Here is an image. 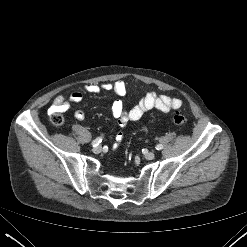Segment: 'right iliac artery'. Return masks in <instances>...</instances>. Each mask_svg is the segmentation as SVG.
Masks as SVG:
<instances>
[{
    "mask_svg": "<svg viewBox=\"0 0 247 247\" xmlns=\"http://www.w3.org/2000/svg\"><path fill=\"white\" fill-rule=\"evenodd\" d=\"M102 141L101 137L96 138L95 140H93V142L91 143L93 147L98 146Z\"/></svg>",
    "mask_w": 247,
    "mask_h": 247,
    "instance_id": "82829eb1",
    "label": "right iliac artery"
}]
</instances>
